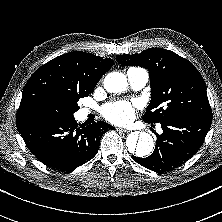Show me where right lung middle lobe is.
Here are the masks:
<instances>
[{"label": "right lung middle lobe", "instance_id": "1", "mask_svg": "<svg viewBox=\"0 0 222 222\" xmlns=\"http://www.w3.org/2000/svg\"><path fill=\"white\" fill-rule=\"evenodd\" d=\"M88 95L78 93L52 95L43 102L40 115L60 119H74L73 113L79 109L77 102L80 98Z\"/></svg>", "mask_w": 222, "mask_h": 222}]
</instances>
